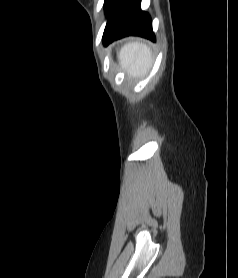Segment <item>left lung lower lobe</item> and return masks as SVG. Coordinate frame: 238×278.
Wrapping results in <instances>:
<instances>
[{
    "instance_id": "1",
    "label": "left lung lower lobe",
    "mask_w": 238,
    "mask_h": 278,
    "mask_svg": "<svg viewBox=\"0 0 238 278\" xmlns=\"http://www.w3.org/2000/svg\"><path fill=\"white\" fill-rule=\"evenodd\" d=\"M141 0H105L104 8L108 16L103 34L106 45L125 36H141L155 41L151 18L141 11Z\"/></svg>"
}]
</instances>
